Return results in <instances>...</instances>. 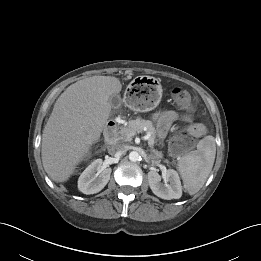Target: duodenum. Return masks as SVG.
Instances as JSON below:
<instances>
[{
    "label": "duodenum",
    "instance_id": "duodenum-1",
    "mask_svg": "<svg viewBox=\"0 0 261 261\" xmlns=\"http://www.w3.org/2000/svg\"><path fill=\"white\" fill-rule=\"evenodd\" d=\"M104 135L108 144L114 145L117 142V125L113 120H108Z\"/></svg>",
    "mask_w": 261,
    "mask_h": 261
}]
</instances>
